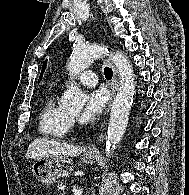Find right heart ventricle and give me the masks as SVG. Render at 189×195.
<instances>
[{"mask_svg": "<svg viewBox=\"0 0 189 195\" xmlns=\"http://www.w3.org/2000/svg\"><path fill=\"white\" fill-rule=\"evenodd\" d=\"M71 125L68 111L63 109L55 93L49 94L39 114V133L48 138L61 139L66 136Z\"/></svg>", "mask_w": 189, "mask_h": 195, "instance_id": "right-heart-ventricle-1", "label": "right heart ventricle"}]
</instances>
